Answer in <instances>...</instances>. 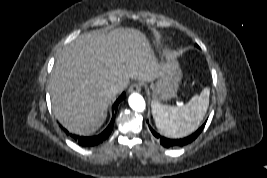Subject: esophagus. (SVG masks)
<instances>
[{"mask_svg":"<svg viewBox=\"0 0 267 178\" xmlns=\"http://www.w3.org/2000/svg\"><path fill=\"white\" fill-rule=\"evenodd\" d=\"M140 91H141V85L139 83H133L128 89L129 93L140 92Z\"/></svg>","mask_w":267,"mask_h":178,"instance_id":"esophagus-1","label":"esophagus"}]
</instances>
